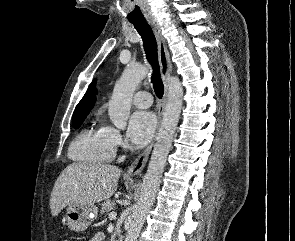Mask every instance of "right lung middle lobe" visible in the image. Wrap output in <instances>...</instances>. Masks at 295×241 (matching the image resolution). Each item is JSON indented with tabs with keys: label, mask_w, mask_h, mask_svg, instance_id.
Wrapping results in <instances>:
<instances>
[{
	"label": "right lung middle lobe",
	"mask_w": 295,
	"mask_h": 241,
	"mask_svg": "<svg viewBox=\"0 0 295 241\" xmlns=\"http://www.w3.org/2000/svg\"><path fill=\"white\" fill-rule=\"evenodd\" d=\"M87 114H82L78 116H74L72 120V126L74 128H79L83 123L84 119L86 118Z\"/></svg>",
	"instance_id": "1"
}]
</instances>
